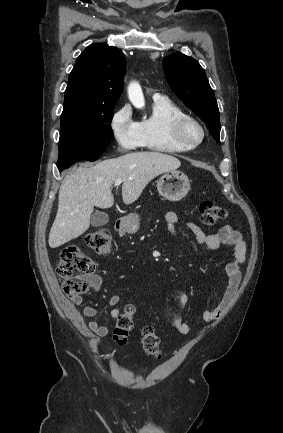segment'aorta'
<instances>
[{"instance_id": "obj_1", "label": "aorta", "mask_w": 283, "mask_h": 433, "mask_svg": "<svg viewBox=\"0 0 283 433\" xmlns=\"http://www.w3.org/2000/svg\"><path fill=\"white\" fill-rule=\"evenodd\" d=\"M128 97L134 107L141 109L145 105L144 95L138 82L132 81L128 85Z\"/></svg>"}]
</instances>
